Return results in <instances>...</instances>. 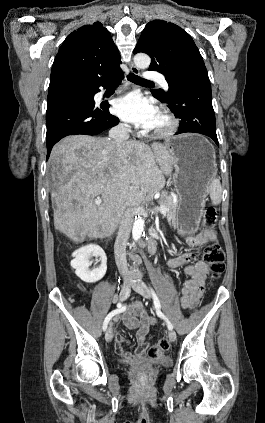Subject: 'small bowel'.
I'll return each instance as SVG.
<instances>
[{
	"mask_svg": "<svg viewBox=\"0 0 265 423\" xmlns=\"http://www.w3.org/2000/svg\"><path fill=\"white\" fill-rule=\"evenodd\" d=\"M183 239L191 247H198L208 241L216 242L218 240L217 234L210 229L194 235H186ZM194 259V253H185L172 257L167 262L168 267L171 269L184 266V272L189 277L180 290V304L184 309L188 310L197 306L203 294L207 276L206 264L201 260L194 261ZM122 321L128 328L137 329L136 337L140 346L134 353L127 351L123 347L125 337L121 332H118L115 337L117 353L129 362L142 358L146 352V336L149 332V326L155 322V319L148 314L140 302H137L123 311Z\"/></svg>",
	"mask_w": 265,
	"mask_h": 423,
	"instance_id": "obj_1",
	"label": "small bowel"
}]
</instances>
